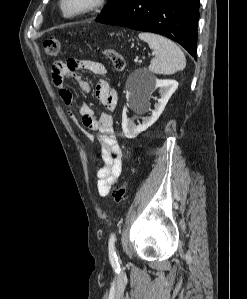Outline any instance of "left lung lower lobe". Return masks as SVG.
<instances>
[{
    "mask_svg": "<svg viewBox=\"0 0 247 299\" xmlns=\"http://www.w3.org/2000/svg\"><path fill=\"white\" fill-rule=\"evenodd\" d=\"M199 0H125L98 22L164 35L196 55Z\"/></svg>",
    "mask_w": 247,
    "mask_h": 299,
    "instance_id": "1",
    "label": "left lung lower lobe"
}]
</instances>
